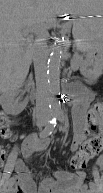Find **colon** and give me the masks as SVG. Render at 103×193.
Instances as JSON below:
<instances>
[{
	"instance_id": "5ec220e1",
	"label": "colon",
	"mask_w": 103,
	"mask_h": 193,
	"mask_svg": "<svg viewBox=\"0 0 103 193\" xmlns=\"http://www.w3.org/2000/svg\"><path fill=\"white\" fill-rule=\"evenodd\" d=\"M102 112V104L96 103L88 117L89 127L87 128V134H89L90 138L82 145L81 150L71 160V166L75 170L83 169L86 166L87 157L99 153L102 149L103 136L100 130ZM1 133L4 138H10L11 131L8 126H3Z\"/></svg>"
}]
</instances>
